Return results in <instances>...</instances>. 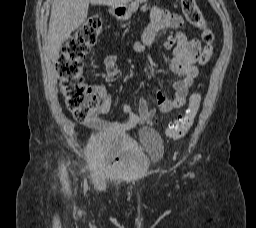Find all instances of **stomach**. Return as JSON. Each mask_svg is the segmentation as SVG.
<instances>
[{"label":"stomach","mask_w":256,"mask_h":228,"mask_svg":"<svg viewBox=\"0 0 256 228\" xmlns=\"http://www.w3.org/2000/svg\"><path fill=\"white\" fill-rule=\"evenodd\" d=\"M131 16V12L130 10L127 9H121L119 13H117L116 17L120 20H126L128 18H130Z\"/></svg>","instance_id":"1"}]
</instances>
